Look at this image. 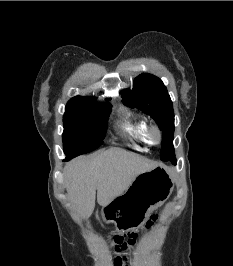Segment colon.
<instances>
[{
	"label": "colon",
	"instance_id": "1",
	"mask_svg": "<svg viewBox=\"0 0 233 266\" xmlns=\"http://www.w3.org/2000/svg\"><path fill=\"white\" fill-rule=\"evenodd\" d=\"M158 218V215L153 214L148 221L146 222V228H150L156 219ZM136 237V233L134 232H128L127 234H117L114 236V244L117 251L125 250L127 247L134 244ZM122 259V258H120Z\"/></svg>",
	"mask_w": 233,
	"mask_h": 266
}]
</instances>
